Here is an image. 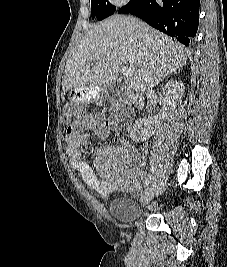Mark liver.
<instances>
[{
  "instance_id": "6515ba94",
  "label": "liver",
  "mask_w": 227,
  "mask_h": 267,
  "mask_svg": "<svg viewBox=\"0 0 227 267\" xmlns=\"http://www.w3.org/2000/svg\"><path fill=\"white\" fill-rule=\"evenodd\" d=\"M186 55L171 37L133 17L113 15L92 25L72 50L62 89L109 86L126 66L133 70L130 89L143 93L185 66Z\"/></svg>"
}]
</instances>
